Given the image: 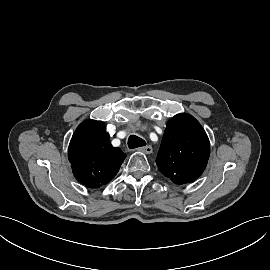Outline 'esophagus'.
<instances>
[{"label":"esophagus","mask_w":270,"mask_h":270,"mask_svg":"<svg viewBox=\"0 0 270 270\" xmlns=\"http://www.w3.org/2000/svg\"><path fill=\"white\" fill-rule=\"evenodd\" d=\"M138 151L150 154L152 152V147L150 145L139 147Z\"/></svg>","instance_id":"obj_1"}]
</instances>
